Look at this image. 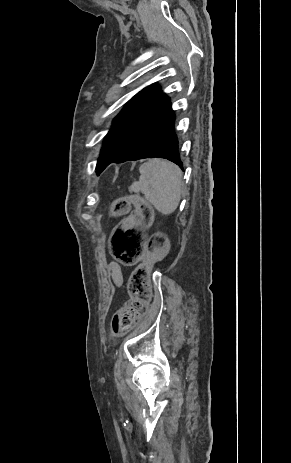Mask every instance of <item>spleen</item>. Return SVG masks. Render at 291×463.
<instances>
[{"instance_id":"1","label":"spleen","mask_w":291,"mask_h":463,"mask_svg":"<svg viewBox=\"0 0 291 463\" xmlns=\"http://www.w3.org/2000/svg\"><path fill=\"white\" fill-rule=\"evenodd\" d=\"M139 171V181H134L129 191L141 192L147 202L161 214H172L181 198V170L169 161L153 159L143 163Z\"/></svg>"}]
</instances>
